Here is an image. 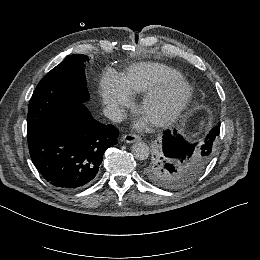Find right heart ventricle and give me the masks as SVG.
<instances>
[{
	"label": "right heart ventricle",
	"instance_id": "obj_1",
	"mask_svg": "<svg viewBox=\"0 0 260 260\" xmlns=\"http://www.w3.org/2000/svg\"><path fill=\"white\" fill-rule=\"evenodd\" d=\"M132 71L136 74L135 89L140 93H151L163 83L182 78L176 69L162 63H141Z\"/></svg>",
	"mask_w": 260,
	"mask_h": 260
}]
</instances>
